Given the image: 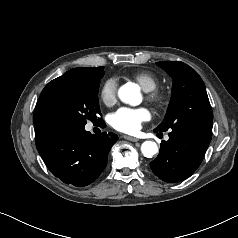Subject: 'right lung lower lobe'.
<instances>
[{"mask_svg": "<svg viewBox=\"0 0 238 238\" xmlns=\"http://www.w3.org/2000/svg\"><path fill=\"white\" fill-rule=\"evenodd\" d=\"M85 125L60 123L35 129L36 147L52 174L76 187L96 180L107 164L116 134L91 135Z\"/></svg>", "mask_w": 238, "mask_h": 238, "instance_id": "98d812e1", "label": "right lung lower lobe"}]
</instances>
